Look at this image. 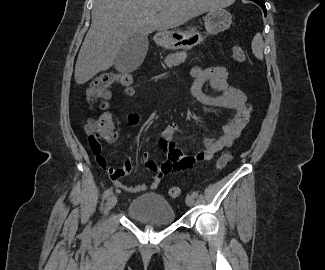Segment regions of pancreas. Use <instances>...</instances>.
<instances>
[{"instance_id": "1", "label": "pancreas", "mask_w": 325, "mask_h": 270, "mask_svg": "<svg viewBox=\"0 0 325 270\" xmlns=\"http://www.w3.org/2000/svg\"><path fill=\"white\" fill-rule=\"evenodd\" d=\"M187 57L185 52H179L172 55H169L165 58V63L168 66H177L180 63L184 62Z\"/></svg>"}]
</instances>
